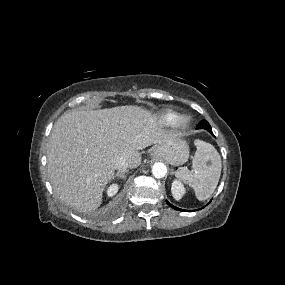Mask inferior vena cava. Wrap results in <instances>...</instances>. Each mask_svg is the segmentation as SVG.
Listing matches in <instances>:
<instances>
[{
	"mask_svg": "<svg viewBox=\"0 0 285 285\" xmlns=\"http://www.w3.org/2000/svg\"><path fill=\"white\" fill-rule=\"evenodd\" d=\"M114 167L118 171H122V170H125L126 168L130 167V163L127 161V159H125L123 157H117L114 160Z\"/></svg>",
	"mask_w": 285,
	"mask_h": 285,
	"instance_id": "obj_1",
	"label": "inferior vena cava"
}]
</instances>
